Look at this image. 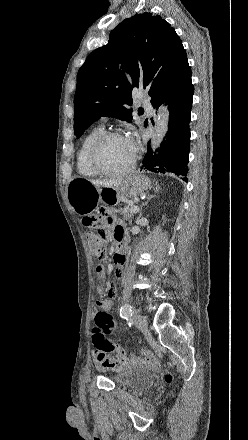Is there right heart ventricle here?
Instances as JSON below:
<instances>
[{
	"mask_svg": "<svg viewBox=\"0 0 248 440\" xmlns=\"http://www.w3.org/2000/svg\"><path fill=\"white\" fill-rule=\"evenodd\" d=\"M104 132L102 126H96L91 129L83 138L81 145L77 152L76 167L79 174L86 177H96L98 174L95 173L89 165L88 162V152L95 141V139Z\"/></svg>",
	"mask_w": 248,
	"mask_h": 440,
	"instance_id": "1",
	"label": "right heart ventricle"
}]
</instances>
